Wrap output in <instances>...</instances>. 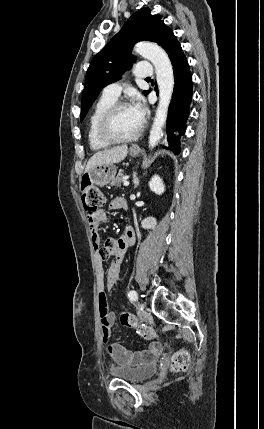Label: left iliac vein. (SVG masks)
I'll return each instance as SVG.
<instances>
[{
    "mask_svg": "<svg viewBox=\"0 0 264 429\" xmlns=\"http://www.w3.org/2000/svg\"><path fill=\"white\" fill-rule=\"evenodd\" d=\"M137 307H138L139 312H142V311H143V309H144L143 304H141V303H139V302H138V304H137Z\"/></svg>",
    "mask_w": 264,
    "mask_h": 429,
    "instance_id": "obj_1",
    "label": "left iliac vein"
}]
</instances>
